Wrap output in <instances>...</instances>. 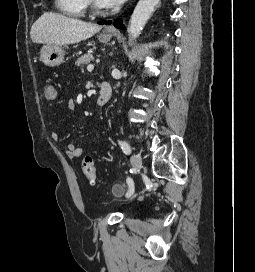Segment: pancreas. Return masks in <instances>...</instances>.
I'll use <instances>...</instances> for the list:
<instances>
[{"label": "pancreas", "instance_id": "1", "mask_svg": "<svg viewBox=\"0 0 255 272\" xmlns=\"http://www.w3.org/2000/svg\"><path fill=\"white\" fill-rule=\"evenodd\" d=\"M93 60H94L93 55L90 54V53H88V54H85V55L79 57L76 60L75 65L83 67L85 64H88V63H90Z\"/></svg>", "mask_w": 255, "mask_h": 272}]
</instances>
